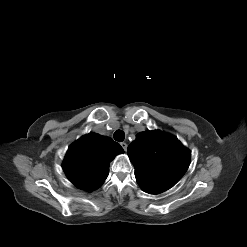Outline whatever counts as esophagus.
<instances>
[{
	"mask_svg": "<svg viewBox=\"0 0 247 247\" xmlns=\"http://www.w3.org/2000/svg\"><path fill=\"white\" fill-rule=\"evenodd\" d=\"M120 145H121V147L123 148L124 151L127 150V143L126 142H121Z\"/></svg>",
	"mask_w": 247,
	"mask_h": 247,
	"instance_id": "esophagus-1",
	"label": "esophagus"
}]
</instances>
